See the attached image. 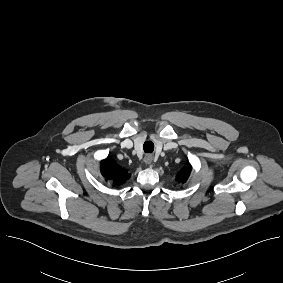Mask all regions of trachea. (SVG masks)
Masks as SVG:
<instances>
[{"label": "trachea", "instance_id": "trachea-1", "mask_svg": "<svg viewBox=\"0 0 283 283\" xmlns=\"http://www.w3.org/2000/svg\"><path fill=\"white\" fill-rule=\"evenodd\" d=\"M145 153H152L154 151V143L152 141H146L143 145Z\"/></svg>", "mask_w": 283, "mask_h": 283}]
</instances>
